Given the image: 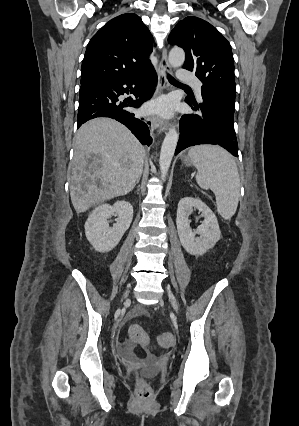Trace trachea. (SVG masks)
<instances>
[{
	"instance_id": "obj_1",
	"label": "trachea",
	"mask_w": 299,
	"mask_h": 426,
	"mask_svg": "<svg viewBox=\"0 0 299 426\" xmlns=\"http://www.w3.org/2000/svg\"><path fill=\"white\" fill-rule=\"evenodd\" d=\"M168 79L172 83H178L172 76L168 75Z\"/></svg>"
}]
</instances>
